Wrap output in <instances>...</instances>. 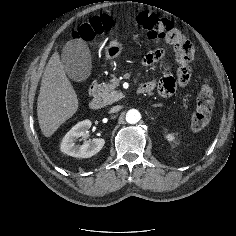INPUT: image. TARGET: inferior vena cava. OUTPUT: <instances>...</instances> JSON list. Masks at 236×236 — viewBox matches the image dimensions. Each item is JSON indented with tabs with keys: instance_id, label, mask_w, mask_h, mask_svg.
<instances>
[{
	"instance_id": "obj_1",
	"label": "inferior vena cava",
	"mask_w": 236,
	"mask_h": 236,
	"mask_svg": "<svg viewBox=\"0 0 236 236\" xmlns=\"http://www.w3.org/2000/svg\"><path fill=\"white\" fill-rule=\"evenodd\" d=\"M121 109V106H113L111 109H110V113H115V112H118L119 110Z\"/></svg>"
}]
</instances>
